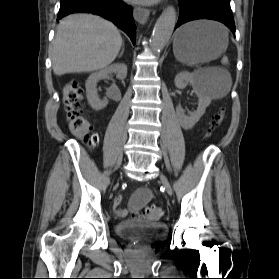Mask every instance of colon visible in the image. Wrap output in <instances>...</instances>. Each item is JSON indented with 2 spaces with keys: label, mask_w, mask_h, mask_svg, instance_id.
<instances>
[{
  "label": "colon",
  "mask_w": 279,
  "mask_h": 279,
  "mask_svg": "<svg viewBox=\"0 0 279 279\" xmlns=\"http://www.w3.org/2000/svg\"><path fill=\"white\" fill-rule=\"evenodd\" d=\"M83 98V91L80 83L72 80L63 87V104L67 114L68 125L71 132L80 137L83 142L90 148H94L98 143V137L90 132V124L83 116L80 104ZM225 111L220 110L214 117L212 125L208 130L210 135L224 119ZM142 216L148 220L156 221L163 216V210L157 206H149Z\"/></svg>",
  "instance_id": "1"
}]
</instances>
